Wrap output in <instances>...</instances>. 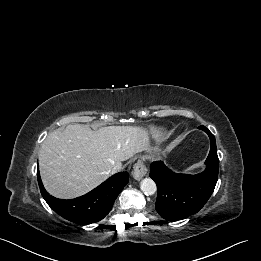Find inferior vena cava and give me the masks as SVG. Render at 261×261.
Segmentation results:
<instances>
[{
    "label": "inferior vena cava",
    "mask_w": 261,
    "mask_h": 261,
    "mask_svg": "<svg viewBox=\"0 0 261 261\" xmlns=\"http://www.w3.org/2000/svg\"><path fill=\"white\" fill-rule=\"evenodd\" d=\"M121 170V167L118 166H114L111 170H110V174H115L116 172H119Z\"/></svg>",
    "instance_id": "1"
}]
</instances>
